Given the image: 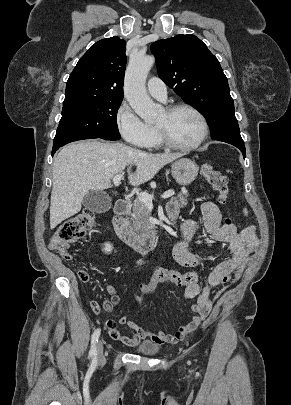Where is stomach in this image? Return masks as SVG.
Masks as SVG:
<instances>
[{
  "instance_id": "1",
  "label": "stomach",
  "mask_w": 291,
  "mask_h": 405,
  "mask_svg": "<svg viewBox=\"0 0 291 405\" xmlns=\"http://www.w3.org/2000/svg\"><path fill=\"white\" fill-rule=\"evenodd\" d=\"M198 170L199 167L197 164L187 158L176 160L171 165V173L173 178L182 186L191 184L196 179Z\"/></svg>"
}]
</instances>
